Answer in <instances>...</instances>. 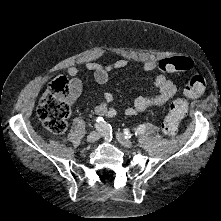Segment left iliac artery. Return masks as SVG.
I'll return each mask as SVG.
<instances>
[{
  "label": "left iliac artery",
  "instance_id": "obj_1",
  "mask_svg": "<svg viewBox=\"0 0 221 221\" xmlns=\"http://www.w3.org/2000/svg\"><path fill=\"white\" fill-rule=\"evenodd\" d=\"M144 130H145V126H144V125H140V126L136 129L135 134H136V135H137V134H142V133L144 132ZM124 133H125L126 135H128V129H125V130H124Z\"/></svg>",
  "mask_w": 221,
  "mask_h": 221
}]
</instances>
